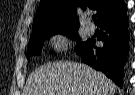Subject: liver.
Returning a JSON list of instances; mask_svg holds the SVG:
<instances>
[{"mask_svg":"<svg viewBox=\"0 0 135 95\" xmlns=\"http://www.w3.org/2000/svg\"><path fill=\"white\" fill-rule=\"evenodd\" d=\"M116 86L84 64L54 62L33 71L23 95H114Z\"/></svg>","mask_w":135,"mask_h":95,"instance_id":"obj_1","label":"liver"}]
</instances>
